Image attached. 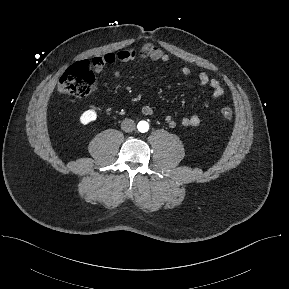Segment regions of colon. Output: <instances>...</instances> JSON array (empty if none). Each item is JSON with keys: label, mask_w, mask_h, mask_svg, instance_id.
<instances>
[{"label": "colon", "mask_w": 289, "mask_h": 289, "mask_svg": "<svg viewBox=\"0 0 289 289\" xmlns=\"http://www.w3.org/2000/svg\"><path fill=\"white\" fill-rule=\"evenodd\" d=\"M96 79L93 66L88 61H80L69 67L58 82V91L62 94L85 97L95 89ZM226 120L233 118V110L229 106L220 109Z\"/></svg>", "instance_id": "colon-1"}]
</instances>
